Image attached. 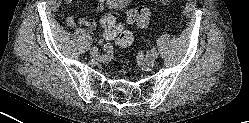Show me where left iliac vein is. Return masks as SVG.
Wrapping results in <instances>:
<instances>
[{"label": "left iliac vein", "instance_id": "4c4485c4", "mask_svg": "<svg viewBox=\"0 0 249 123\" xmlns=\"http://www.w3.org/2000/svg\"><path fill=\"white\" fill-rule=\"evenodd\" d=\"M145 61L148 65H153L154 61H155V57L153 56L152 52L151 53H147L145 55Z\"/></svg>", "mask_w": 249, "mask_h": 123}]
</instances>
